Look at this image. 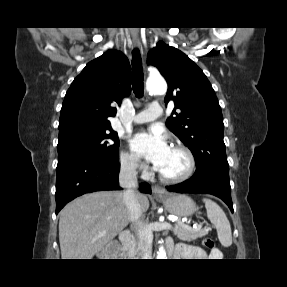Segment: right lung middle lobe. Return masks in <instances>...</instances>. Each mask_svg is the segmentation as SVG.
<instances>
[{
  "label": "right lung middle lobe",
  "instance_id": "dd1d6c3e",
  "mask_svg": "<svg viewBox=\"0 0 287 287\" xmlns=\"http://www.w3.org/2000/svg\"><path fill=\"white\" fill-rule=\"evenodd\" d=\"M119 139L110 126L75 123L59 128L58 163L73 158H89L116 164Z\"/></svg>",
  "mask_w": 287,
  "mask_h": 287
}]
</instances>
